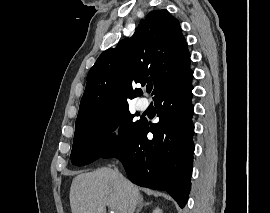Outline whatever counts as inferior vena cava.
Returning <instances> with one entry per match:
<instances>
[{
	"instance_id": "602c4592",
	"label": "inferior vena cava",
	"mask_w": 270,
	"mask_h": 213,
	"mask_svg": "<svg viewBox=\"0 0 270 213\" xmlns=\"http://www.w3.org/2000/svg\"><path fill=\"white\" fill-rule=\"evenodd\" d=\"M113 171L116 176L121 177V174L119 173L117 168H115Z\"/></svg>"
}]
</instances>
